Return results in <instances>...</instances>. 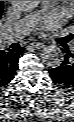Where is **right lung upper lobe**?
Segmentation results:
<instances>
[{
    "label": "right lung upper lobe",
    "instance_id": "cb5924a9",
    "mask_svg": "<svg viewBox=\"0 0 74 122\" xmlns=\"http://www.w3.org/2000/svg\"><path fill=\"white\" fill-rule=\"evenodd\" d=\"M3 2V1H0V3ZM0 17H1V12H0Z\"/></svg>",
    "mask_w": 74,
    "mask_h": 122
}]
</instances>
